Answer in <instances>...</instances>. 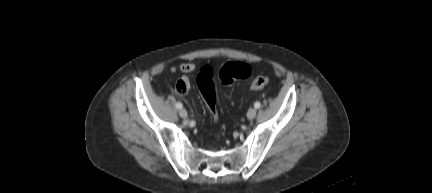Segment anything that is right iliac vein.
<instances>
[{
    "instance_id": "63e3f726",
    "label": "right iliac vein",
    "mask_w": 432,
    "mask_h": 193,
    "mask_svg": "<svg viewBox=\"0 0 432 193\" xmlns=\"http://www.w3.org/2000/svg\"><path fill=\"white\" fill-rule=\"evenodd\" d=\"M179 115H180V117H182V118H186L187 117V111L184 109V108H182V109H180V111H179Z\"/></svg>"
}]
</instances>
